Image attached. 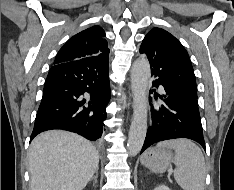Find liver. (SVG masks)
Segmentation results:
<instances>
[{
	"label": "liver",
	"instance_id": "obj_1",
	"mask_svg": "<svg viewBox=\"0 0 234 190\" xmlns=\"http://www.w3.org/2000/svg\"><path fill=\"white\" fill-rule=\"evenodd\" d=\"M31 190H82L98 170L92 143L66 131H46L31 143Z\"/></svg>",
	"mask_w": 234,
	"mask_h": 190
}]
</instances>
